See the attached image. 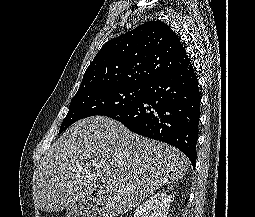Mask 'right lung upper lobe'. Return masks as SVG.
I'll return each mask as SVG.
<instances>
[{
    "instance_id": "1",
    "label": "right lung upper lobe",
    "mask_w": 255,
    "mask_h": 217,
    "mask_svg": "<svg viewBox=\"0 0 255 217\" xmlns=\"http://www.w3.org/2000/svg\"><path fill=\"white\" fill-rule=\"evenodd\" d=\"M190 62L176 33L149 21L108 41L88 66L78 91L114 85L147 86Z\"/></svg>"
}]
</instances>
